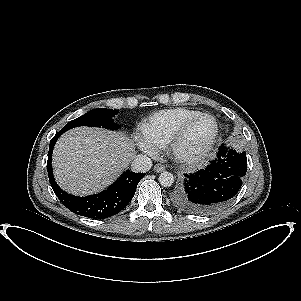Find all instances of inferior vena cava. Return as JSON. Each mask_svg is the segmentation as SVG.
Instances as JSON below:
<instances>
[{
	"label": "inferior vena cava",
	"mask_w": 301,
	"mask_h": 301,
	"mask_svg": "<svg viewBox=\"0 0 301 301\" xmlns=\"http://www.w3.org/2000/svg\"><path fill=\"white\" fill-rule=\"evenodd\" d=\"M152 167V160L146 155H136L131 162V170L136 173H145Z\"/></svg>",
	"instance_id": "1"
}]
</instances>
